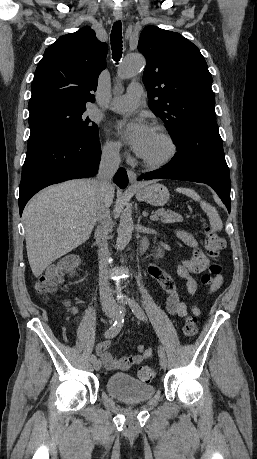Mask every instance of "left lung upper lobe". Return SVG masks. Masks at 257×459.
I'll list each match as a JSON object with an SVG mask.
<instances>
[{
  "label": "left lung upper lobe",
  "mask_w": 257,
  "mask_h": 459,
  "mask_svg": "<svg viewBox=\"0 0 257 459\" xmlns=\"http://www.w3.org/2000/svg\"><path fill=\"white\" fill-rule=\"evenodd\" d=\"M138 50L146 58L148 106L167 125L175 143L189 126L215 121L212 76L193 43L179 33L147 26Z\"/></svg>",
  "instance_id": "left-lung-upper-lobe-1"
}]
</instances>
